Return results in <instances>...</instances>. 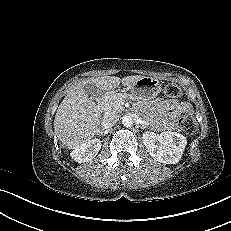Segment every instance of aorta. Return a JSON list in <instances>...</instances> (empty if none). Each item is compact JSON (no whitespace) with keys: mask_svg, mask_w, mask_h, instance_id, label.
<instances>
[{"mask_svg":"<svg viewBox=\"0 0 231 231\" xmlns=\"http://www.w3.org/2000/svg\"><path fill=\"white\" fill-rule=\"evenodd\" d=\"M122 124L125 127H131L133 125V119L131 116L125 115L122 117Z\"/></svg>","mask_w":231,"mask_h":231,"instance_id":"762f6f07","label":"aorta"}]
</instances>
